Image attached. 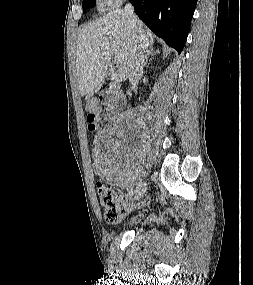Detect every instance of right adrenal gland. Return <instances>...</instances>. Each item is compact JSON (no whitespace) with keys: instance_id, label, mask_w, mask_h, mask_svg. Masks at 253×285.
Masks as SVG:
<instances>
[{"instance_id":"right-adrenal-gland-1","label":"right adrenal gland","mask_w":253,"mask_h":285,"mask_svg":"<svg viewBox=\"0 0 253 285\" xmlns=\"http://www.w3.org/2000/svg\"><path fill=\"white\" fill-rule=\"evenodd\" d=\"M146 52H147V54H146V56H145V60H144V64H143L144 66L147 65L149 56H153V55L159 53V51H154V49H153L152 46H149V47L147 48Z\"/></svg>"}]
</instances>
